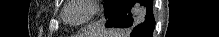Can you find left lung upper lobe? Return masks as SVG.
Returning <instances> with one entry per match:
<instances>
[{
  "label": "left lung upper lobe",
  "mask_w": 219,
  "mask_h": 37,
  "mask_svg": "<svg viewBox=\"0 0 219 37\" xmlns=\"http://www.w3.org/2000/svg\"><path fill=\"white\" fill-rule=\"evenodd\" d=\"M119 0H104L105 18H109Z\"/></svg>",
  "instance_id": "5c2ea615"
}]
</instances>
